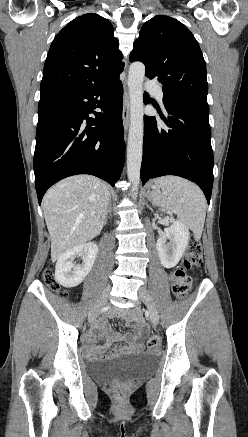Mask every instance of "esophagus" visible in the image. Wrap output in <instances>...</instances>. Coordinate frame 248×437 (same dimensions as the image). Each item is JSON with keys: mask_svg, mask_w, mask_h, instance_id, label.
<instances>
[{"mask_svg": "<svg viewBox=\"0 0 248 437\" xmlns=\"http://www.w3.org/2000/svg\"><path fill=\"white\" fill-rule=\"evenodd\" d=\"M129 111H130V99H129L128 92L125 89L124 100H123V112H122V119H123V126H124L125 133H127L129 127Z\"/></svg>", "mask_w": 248, "mask_h": 437, "instance_id": "1", "label": "esophagus"}]
</instances>
